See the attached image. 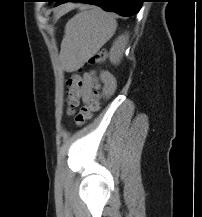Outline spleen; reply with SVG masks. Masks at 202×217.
<instances>
[{
    "instance_id": "1",
    "label": "spleen",
    "mask_w": 202,
    "mask_h": 217,
    "mask_svg": "<svg viewBox=\"0 0 202 217\" xmlns=\"http://www.w3.org/2000/svg\"><path fill=\"white\" fill-rule=\"evenodd\" d=\"M114 15L100 7L76 14L65 27L61 48L70 60L84 59L95 54L115 33Z\"/></svg>"
}]
</instances>
